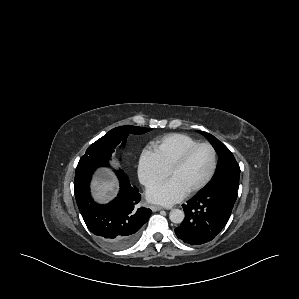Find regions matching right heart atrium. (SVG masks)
<instances>
[{"label":"right heart atrium","mask_w":299,"mask_h":299,"mask_svg":"<svg viewBox=\"0 0 299 299\" xmlns=\"http://www.w3.org/2000/svg\"><path fill=\"white\" fill-rule=\"evenodd\" d=\"M137 173L145 187L156 185L168 177V171L161 165L154 152L148 149L143 150L139 156Z\"/></svg>","instance_id":"right-heart-atrium-1"}]
</instances>
